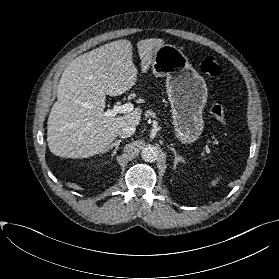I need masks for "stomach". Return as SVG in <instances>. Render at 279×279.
I'll return each instance as SVG.
<instances>
[{"label": "stomach", "mask_w": 279, "mask_h": 279, "mask_svg": "<svg viewBox=\"0 0 279 279\" xmlns=\"http://www.w3.org/2000/svg\"><path fill=\"white\" fill-rule=\"evenodd\" d=\"M152 70L157 77H166L176 138L184 144L195 142L204 128L208 89L203 77L184 53L171 44H162L155 50Z\"/></svg>", "instance_id": "stomach-1"}]
</instances>
